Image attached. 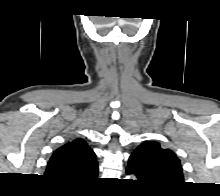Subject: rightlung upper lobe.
Wrapping results in <instances>:
<instances>
[{
	"instance_id": "right-lung-upper-lobe-1",
	"label": "right lung upper lobe",
	"mask_w": 220,
	"mask_h": 196,
	"mask_svg": "<svg viewBox=\"0 0 220 196\" xmlns=\"http://www.w3.org/2000/svg\"><path fill=\"white\" fill-rule=\"evenodd\" d=\"M98 164L95 153L82 139L58 148L50 158L45 176L66 184H84L96 178Z\"/></svg>"
}]
</instances>
